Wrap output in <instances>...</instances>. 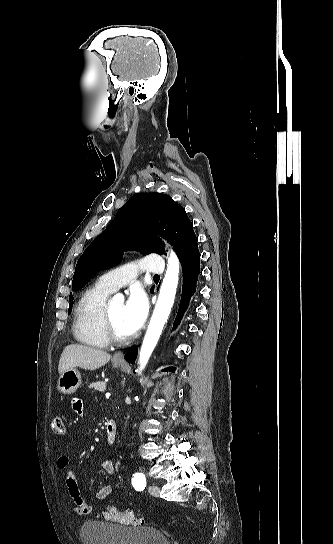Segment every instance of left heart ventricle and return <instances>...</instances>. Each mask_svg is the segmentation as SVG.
<instances>
[{"label": "left heart ventricle", "mask_w": 333, "mask_h": 544, "mask_svg": "<svg viewBox=\"0 0 333 544\" xmlns=\"http://www.w3.org/2000/svg\"><path fill=\"white\" fill-rule=\"evenodd\" d=\"M123 308L124 304L122 302L114 303L109 306V312L118 333L128 336L130 335V332L126 329L123 323Z\"/></svg>", "instance_id": "b2bd125f"}]
</instances>
